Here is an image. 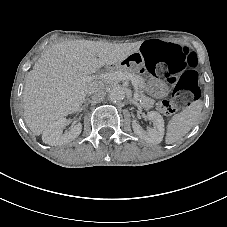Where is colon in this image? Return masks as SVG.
<instances>
[{
	"mask_svg": "<svg viewBox=\"0 0 227 227\" xmlns=\"http://www.w3.org/2000/svg\"><path fill=\"white\" fill-rule=\"evenodd\" d=\"M140 54L146 71L174 84L172 98L161 104L163 113L171 115L200 97L195 53L173 43L150 40L142 45Z\"/></svg>",
	"mask_w": 227,
	"mask_h": 227,
	"instance_id": "5ec220e1",
	"label": "colon"
}]
</instances>
